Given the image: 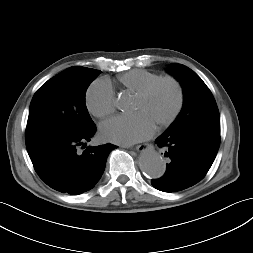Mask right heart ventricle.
I'll return each instance as SVG.
<instances>
[{
	"label": "right heart ventricle",
	"instance_id": "obj_1",
	"mask_svg": "<svg viewBox=\"0 0 253 253\" xmlns=\"http://www.w3.org/2000/svg\"><path fill=\"white\" fill-rule=\"evenodd\" d=\"M159 77L161 76L144 69H134L119 75L117 81L125 90L137 93Z\"/></svg>",
	"mask_w": 253,
	"mask_h": 253
}]
</instances>
